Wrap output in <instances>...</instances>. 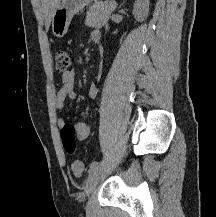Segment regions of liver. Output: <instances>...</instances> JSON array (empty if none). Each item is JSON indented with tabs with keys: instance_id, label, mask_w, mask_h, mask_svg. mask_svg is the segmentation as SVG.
Returning <instances> with one entry per match:
<instances>
[{
	"instance_id": "1",
	"label": "liver",
	"mask_w": 216,
	"mask_h": 217,
	"mask_svg": "<svg viewBox=\"0 0 216 217\" xmlns=\"http://www.w3.org/2000/svg\"><path fill=\"white\" fill-rule=\"evenodd\" d=\"M60 2L61 0H42L44 12L46 16L45 27L47 30L49 29L55 10L59 6Z\"/></svg>"
}]
</instances>
